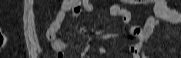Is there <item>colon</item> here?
I'll return each instance as SVG.
<instances>
[{
  "label": "colon",
  "mask_w": 181,
  "mask_h": 58,
  "mask_svg": "<svg viewBox=\"0 0 181 58\" xmlns=\"http://www.w3.org/2000/svg\"><path fill=\"white\" fill-rule=\"evenodd\" d=\"M57 57L58 58H62L63 57V53L62 54H58Z\"/></svg>",
  "instance_id": "colon-1"
}]
</instances>
